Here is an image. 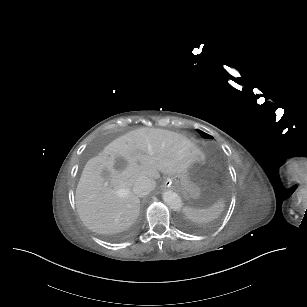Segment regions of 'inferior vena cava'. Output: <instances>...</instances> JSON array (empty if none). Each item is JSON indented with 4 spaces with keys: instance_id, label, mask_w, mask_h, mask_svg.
I'll list each match as a JSON object with an SVG mask.
<instances>
[{
    "instance_id": "602c4592",
    "label": "inferior vena cava",
    "mask_w": 307,
    "mask_h": 307,
    "mask_svg": "<svg viewBox=\"0 0 307 307\" xmlns=\"http://www.w3.org/2000/svg\"><path fill=\"white\" fill-rule=\"evenodd\" d=\"M132 190L138 197H143L153 190V185L149 178L140 177L135 181Z\"/></svg>"
}]
</instances>
